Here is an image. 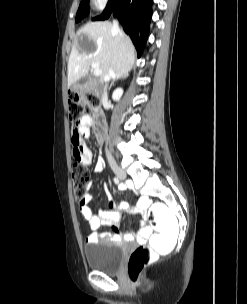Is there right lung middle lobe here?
I'll use <instances>...</instances> for the list:
<instances>
[{
  "instance_id": "obj_1",
  "label": "right lung middle lobe",
  "mask_w": 247,
  "mask_h": 304,
  "mask_svg": "<svg viewBox=\"0 0 247 304\" xmlns=\"http://www.w3.org/2000/svg\"><path fill=\"white\" fill-rule=\"evenodd\" d=\"M89 13V0H81L78 12L76 14V22H80Z\"/></svg>"
}]
</instances>
